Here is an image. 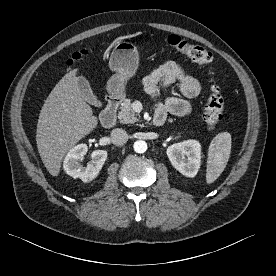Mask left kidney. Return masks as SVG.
Segmentation results:
<instances>
[{
  "label": "left kidney",
  "instance_id": "left-kidney-1",
  "mask_svg": "<svg viewBox=\"0 0 276 276\" xmlns=\"http://www.w3.org/2000/svg\"><path fill=\"white\" fill-rule=\"evenodd\" d=\"M172 166L186 177H194L201 162V145L196 140L175 143L167 148Z\"/></svg>",
  "mask_w": 276,
  "mask_h": 276
}]
</instances>
